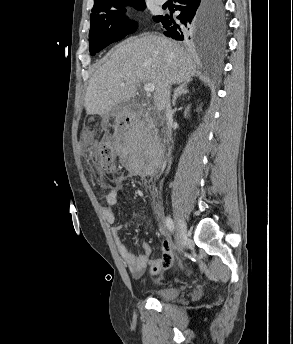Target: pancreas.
Here are the masks:
<instances>
[{"instance_id": "cf45deb5", "label": "pancreas", "mask_w": 293, "mask_h": 344, "mask_svg": "<svg viewBox=\"0 0 293 344\" xmlns=\"http://www.w3.org/2000/svg\"><path fill=\"white\" fill-rule=\"evenodd\" d=\"M143 130L137 129L136 131L133 132V137L134 138H142Z\"/></svg>"}]
</instances>
